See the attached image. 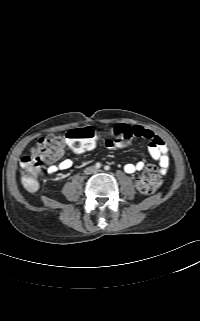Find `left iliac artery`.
I'll return each mask as SVG.
<instances>
[{
  "label": "left iliac artery",
  "mask_w": 200,
  "mask_h": 321,
  "mask_svg": "<svg viewBox=\"0 0 200 321\" xmlns=\"http://www.w3.org/2000/svg\"><path fill=\"white\" fill-rule=\"evenodd\" d=\"M104 169H105V170H109L110 167H109L108 165H106V166L104 167Z\"/></svg>",
  "instance_id": "obj_1"
}]
</instances>
